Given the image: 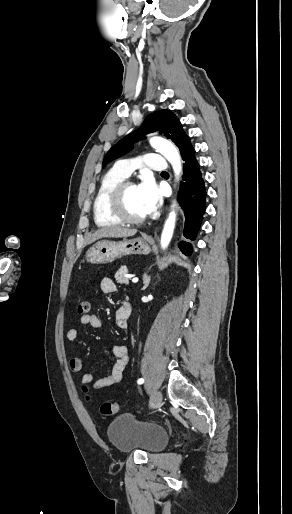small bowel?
Wrapping results in <instances>:
<instances>
[{"label": "small bowel", "instance_id": "small-bowel-1", "mask_svg": "<svg viewBox=\"0 0 292 514\" xmlns=\"http://www.w3.org/2000/svg\"><path fill=\"white\" fill-rule=\"evenodd\" d=\"M100 288L102 292L106 294H113L117 291L115 282L105 277L100 282ZM129 316H127L123 305H120L115 310V324L118 329L125 330L128 328ZM80 323L85 326H89L93 329H100L102 327V321L97 314H88L80 318ZM80 332L77 328H70L67 331V339L69 341H76L79 338ZM113 354L116 357V362L111 367L110 372L98 380L95 379V375L91 372L84 373L81 376L80 382L82 385H91L93 389H104L123 381L124 370L128 364V347L124 344H119L113 347ZM69 368L73 373H79L84 369V361L79 357L71 358L69 361Z\"/></svg>", "mask_w": 292, "mask_h": 514}]
</instances>
